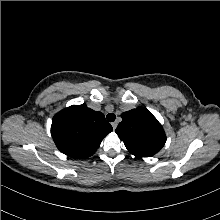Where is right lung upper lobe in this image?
<instances>
[{
	"mask_svg": "<svg viewBox=\"0 0 220 220\" xmlns=\"http://www.w3.org/2000/svg\"><path fill=\"white\" fill-rule=\"evenodd\" d=\"M112 131L103 113L86 104L72 105L58 112L52 121L51 135L64 154L84 159L98 149L102 139Z\"/></svg>",
	"mask_w": 220,
	"mask_h": 220,
	"instance_id": "1",
	"label": "right lung upper lobe"
}]
</instances>
